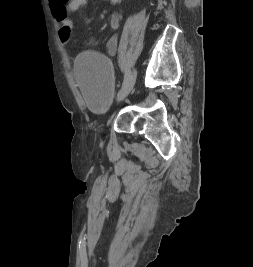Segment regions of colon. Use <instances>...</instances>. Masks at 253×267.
Segmentation results:
<instances>
[{
	"label": "colon",
	"instance_id": "obj_1",
	"mask_svg": "<svg viewBox=\"0 0 253 267\" xmlns=\"http://www.w3.org/2000/svg\"><path fill=\"white\" fill-rule=\"evenodd\" d=\"M59 38L64 44L72 43L76 45V42L72 40V28L69 26H61Z\"/></svg>",
	"mask_w": 253,
	"mask_h": 267
}]
</instances>
